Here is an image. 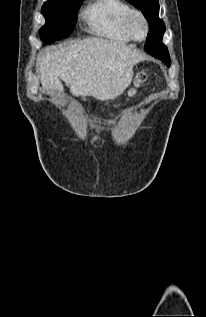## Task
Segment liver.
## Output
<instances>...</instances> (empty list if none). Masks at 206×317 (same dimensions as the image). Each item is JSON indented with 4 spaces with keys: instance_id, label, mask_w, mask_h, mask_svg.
I'll use <instances>...</instances> for the list:
<instances>
[{
    "instance_id": "1",
    "label": "liver",
    "mask_w": 206,
    "mask_h": 317,
    "mask_svg": "<svg viewBox=\"0 0 206 317\" xmlns=\"http://www.w3.org/2000/svg\"><path fill=\"white\" fill-rule=\"evenodd\" d=\"M144 55L124 44L93 37L40 53V81L47 90L61 92L60 80L75 96L107 101L120 96L131 84L133 67Z\"/></svg>"
}]
</instances>
